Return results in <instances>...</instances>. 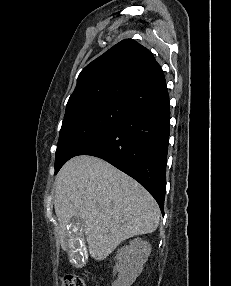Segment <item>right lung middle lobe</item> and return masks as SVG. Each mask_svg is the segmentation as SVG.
<instances>
[{
  "label": "right lung middle lobe",
  "mask_w": 231,
  "mask_h": 286,
  "mask_svg": "<svg viewBox=\"0 0 231 286\" xmlns=\"http://www.w3.org/2000/svg\"><path fill=\"white\" fill-rule=\"evenodd\" d=\"M130 113L128 105L102 101L65 115L60 130L55 160V174L70 158Z\"/></svg>",
  "instance_id": "right-lung-middle-lobe-1"
}]
</instances>
